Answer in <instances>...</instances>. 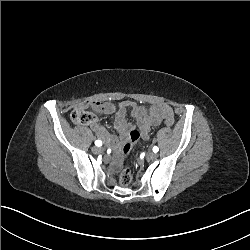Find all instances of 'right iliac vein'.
<instances>
[{
    "instance_id": "obj_1",
    "label": "right iliac vein",
    "mask_w": 250,
    "mask_h": 250,
    "mask_svg": "<svg viewBox=\"0 0 250 250\" xmlns=\"http://www.w3.org/2000/svg\"><path fill=\"white\" fill-rule=\"evenodd\" d=\"M92 152L95 153V154L101 153V152H102V149L99 148V147H97V146H95V147L92 148Z\"/></svg>"
}]
</instances>
